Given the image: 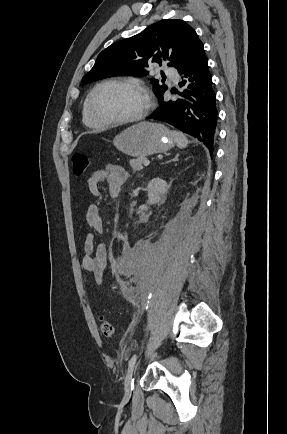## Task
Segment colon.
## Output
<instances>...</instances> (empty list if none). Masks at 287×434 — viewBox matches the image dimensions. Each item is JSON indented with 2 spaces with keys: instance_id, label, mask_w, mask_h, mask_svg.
Returning a JSON list of instances; mask_svg holds the SVG:
<instances>
[{
  "instance_id": "obj_1",
  "label": "colon",
  "mask_w": 287,
  "mask_h": 434,
  "mask_svg": "<svg viewBox=\"0 0 287 434\" xmlns=\"http://www.w3.org/2000/svg\"><path fill=\"white\" fill-rule=\"evenodd\" d=\"M89 167V158L83 153H75L72 157V169L76 176H83ZM99 327L101 334L109 340H112L116 336L115 327L113 323L104 317L100 318Z\"/></svg>"
}]
</instances>
